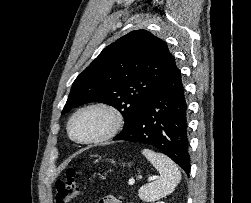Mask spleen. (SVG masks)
<instances>
[{"label":"spleen","instance_id":"obj_1","mask_svg":"<svg viewBox=\"0 0 251 203\" xmlns=\"http://www.w3.org/2000/svg\"><path fill=\"white\" fill-rule=\"evenodd\" d=\"M143 155L158 170L160 176L156 181L140 187L138 195L141 200L154 202L171 194L181 180V173L177 165L166 155L143 149Z\"/></svg>","mask_w":251,"mask_h":203}]
</instances>
